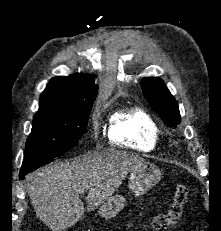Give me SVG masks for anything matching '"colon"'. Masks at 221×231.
Returning <instances> with one entry per match:
<instances>
[{
  "instance_id": "obj_1",
  "label": "colon",
  "mask_w": 221,
  "mask_h": 231,
  "mask_svg": "<svg viewBox=\"0 0 221 231\" xmlns=\"http://www.w3.org/2000/svg\"><path fill=\"white\" fill-rule=\"evenodd\" d=\"M189 189L184 184H178L173 193V200L165 212L156 215L151 221V229L159 231L176 224L188 201Z\"/></svg>"
}]
</instances>
